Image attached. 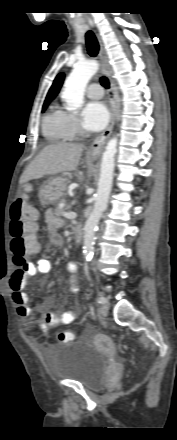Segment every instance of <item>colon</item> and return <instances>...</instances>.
I'll use <instances>...</instances> for the list:
<instances>
[{"label": "colon", "instance_id": "1", "mask_svg": "<svg viewBox=\"0 0 177 440\" xmlns=\"http://www.w3.org/2000/svg\"><path fill=\"white\" fill-rule=\"evenodd\" d=\"M37 212L27 202L25 193L19 195L10 208V235L11 251L14 262L17 266L23 267L27 264L28 257L36 253L38 240ZM60 342L67 343L73 340L70 331H61L58 334Z\"/></svg>", "mask_w": 177, "mask_h": 440}]
</instances>
